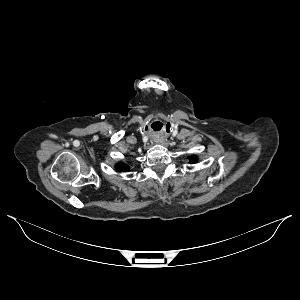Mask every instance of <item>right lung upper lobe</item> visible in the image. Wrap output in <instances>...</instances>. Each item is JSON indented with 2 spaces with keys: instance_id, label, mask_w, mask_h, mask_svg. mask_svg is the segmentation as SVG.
I'll list each match as a JSON object with an SVG mask.
<instances>
[{
  "instance_id": "cb5924a9",
  "label": "right lung upper lobe",
  "mask_w": 300,
  "mask_h": 300,
  "mask_svg": "<svg viewBox=\"0 0 300 300\" xmlns=\"http://www.w3.org/2000/svg\"><path fill=\"white\" fill-rule=\"evenodd\" d=\"M116 169H117V171L121 172V171L127 170L128 166L123 163H119L116 165Z\"/></svg>"
}]
</instances>
